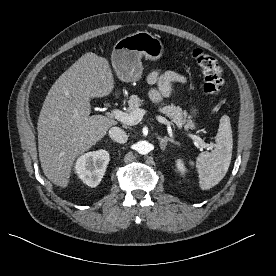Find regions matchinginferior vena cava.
Returning a JSON list of instances; mask_svg holds the SVG:
<instances>
[{
  "label": "inferior vena cava",
  "instance_id": "obj_1",
  "mask_svg": "<svg viewBox=\"0 0 276 276\" xmlns=\"http://www.w3.org/2000/svg\"><path fill=\"white\" fill-rule=\"evenodd\" d=\"M109 136L112 140L121 144L126 143L128 140V135L126 132L119 127H112L109 130Z\"/></svg>",
  "mask_w": 276,
  "mask_h": 276
}]
</instances>
